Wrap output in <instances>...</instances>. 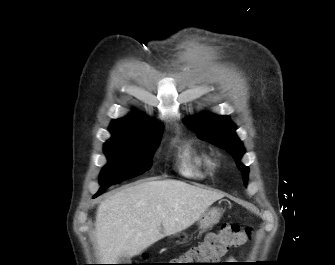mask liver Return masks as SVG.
I'll list each match as a JSON object with an SVG mask.
<instances>
[{
    "instance_id": "6515ba94",
    "label": "liver",
    "mask_w": 335,
    "mask_h": 265,
    "mask_svg": "<svg viewBox=\"0 0 335 265\" xmlns=\"http://www.w3.org/2000/svg\"><path fill=\"white\" fill-rule=\"evenodd\" d=\"M224 194L178 180H151L123 188L100 202L95 235L98 256L116 264L190 227Z\"/></svg>"
}]
</instances>
